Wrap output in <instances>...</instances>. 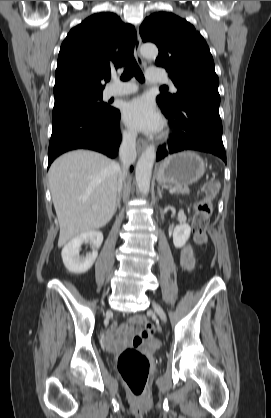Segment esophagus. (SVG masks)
<instances>
[{"label": "esophagus", "mask_w": 271, "mask_h": 418, "mask_svg": "<svg viewBox=\"0 0 271 418\" xmlns=\"http://www.w3.org/2000/svg\"><path fill=\"white\" fill-rule=\"evenodd\" d=\"M140 46H141V38H140L139 32L137 30V39H136V42H135V45H134V56H135V59H136L137 63L140 66H143L144 65V60H143V58L140 54ZM146 146H147L146 140L143 139V138H139L138 141H137L138 152L139 153L142 152L145 149Z\"/></svg>", "instance_id": "obj_1"}]
</instances>
